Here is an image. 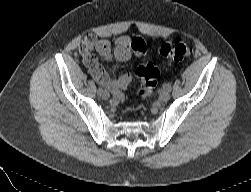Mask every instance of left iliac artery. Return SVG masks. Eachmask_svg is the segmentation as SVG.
I'll return each instance as SVG.
<instances>
[{
  "mask_svg": "<svg viewBox=\"0 0 251 192\" xmlns=\"http://www.w3.org/2000/svg\"><path fill=\"white\" fill-rule=\"evenodd\" d=\"M164 88L168 89L169 91H171L172 89V84L171 83H167L165 84Z\"/></svg>",
  "mask_w": 251,
  "mask_h": 192,
  "instance_id": "left-iliac-artery-1",
  "label": "left iliac artery"
}]
</instances>
